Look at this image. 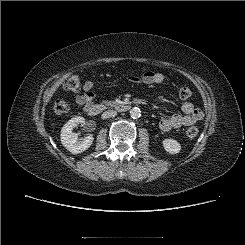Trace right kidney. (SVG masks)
I'll use <instances>...</instances> for the list:
<instances>
[{"label":"right kidney","mask_w":245,"mask_h":245,"mask_svg":"<svg viewBox=\"0 0 245 245\" xmlns=\"http://www.w3.org/2000/svg\"><path fill=\"white\" fill-rule=\"evenodd\" d=\"M85 122L83 117L75 116L71 118L61 129V143L71 153L79 154L87 150L93 143V136L78 139V135L72 130L79 124Z\"/></svg>","instance_id":"ca27d5eb"}]
</instances>
